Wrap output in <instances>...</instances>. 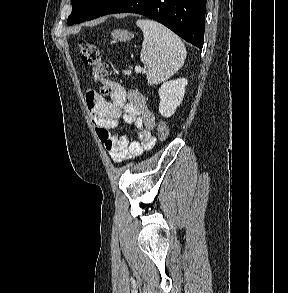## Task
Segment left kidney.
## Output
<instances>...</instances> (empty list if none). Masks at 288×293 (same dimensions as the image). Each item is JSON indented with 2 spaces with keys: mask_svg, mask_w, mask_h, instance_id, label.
Returning a JSON list of instances; mask_svg holds the SVG:
<instances>
[{
  "mask_svg": "<svg viewBox=\"0 0 288 293\" xmlns=\"http://www.w3.org/2000/svg\"><path fill=\"white\" fill-rule=\"evenodd\" d=\"M187 79L170 80L161 85L158 94L160 97L159 112L163 117H170L182 103Z\"/></svg>",
  "mask_w": 288,
  "mask_h": 293,
  "instance_id": "5707ae66",
  "label": "left kidney"
}]
</instances>
